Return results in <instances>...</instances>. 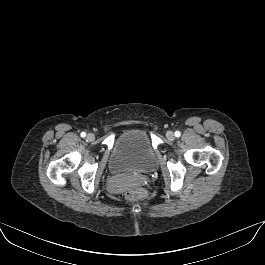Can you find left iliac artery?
I'll use <instances>...</instances> for the list:
<instances>
[{
	"label": "left iliac artery",
	"instance_id": "1",
	"mask_svg": "<svg viewBox=\"0 0 265 265\" xmlns=\"http://www.w3.org/2000/svg\"><path fill=\"white\" fill-rule=\"evenodd\" d=\"M174 135H175V137H180L181 133L179 131H175Z\"/></svg>",
	"mask_w": 265,
	"mask_h": 265
}]
</instances>
